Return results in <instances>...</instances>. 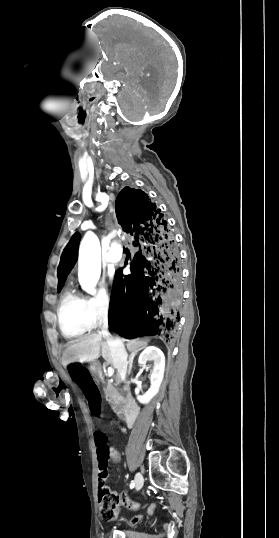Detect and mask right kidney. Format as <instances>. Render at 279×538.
Segmentation results:
<instances>
[{"label":"right kidney","instance_id":"ca27d5eb","mask_svg":"<svg viewBox=\"0 0 279 538\" xmlns=\"http://www.w3.org/2000/svg\"><path fill=\"white\" fill-rule=\"evenodd\" d=\"M151 360L154 362L151 374V388H149L144 396H138L140 388H136L135 390L137 400L138 402H141V404H148L153 396L158 394L164 376L165 356L159 348H156V346H148V348H145L139 356L138 364H140L141 368H144V370H149L147 362H151Z\"/></svg>","mask_w":279,"mask_h":538}]
</instances>
